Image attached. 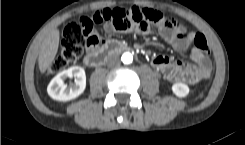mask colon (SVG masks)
<instances>
[{
	"label": "colon",
	"mask_w": 245,
	"mask_h": 145,
	"mask_svg": "<svg viewBox=\"0 0 245 145\" xmlns=\"http://www.w3.org/2000/svg\"><path fill=\"white\" fill-rule=\"evenodd\" d=\"M101 22H109L121 31H148L156 25L172 26L175 21L156 10L139 7L106 8L95 12L91 17L70 21L64 27L59 53L47 72L61 71L70 65L84 48L92 50L99 46L100 38L92 32V26ZM193 45L203 56L209 55L210 47L202 34L194 36ZM203 74L207 77L208 70H204Z\"/></svg>",
	"instance_id": "obj_1"
}]
</instances>
